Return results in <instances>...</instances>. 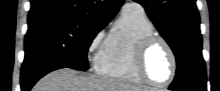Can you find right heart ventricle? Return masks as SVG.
Masks as SVG:
<instances>
[{"label":"right heart ventricle","instance_id":"right-heart-ventricle-1","mask_svg":"<svg viewBox=\"0 0 220 91\" xmlns=\"http://www.w3.org/2000/svg\"><path fill=\"white\" fill-rule=\"evenodd\" d=\"M154 34V25L143 11H123L96 58V71L129 84H144L135 70L134 56L138 44Z\"/></svg>","mask_w":220,"mask_h":91}]
</instances>
